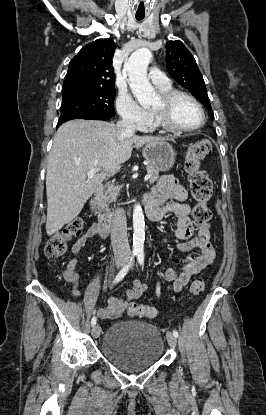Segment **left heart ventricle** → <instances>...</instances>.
<instances>
[{"label": "left heart ventricle", "instance_id": "left-heart-ventricle-1", "mask_svg": "<svg viewBox=\"0 0 266 415\" xmlns=\"http://www.w3.org/2000/svg\"><path fill=\"white\" fill-rule=\"evenodd\" d=\"M161 106L160 97L153 103V108ZM170 116L173 122L182 127H193L201 122V114L196 105L185 97L177 98L171 106Z\"/></svg>", "mask_w": 266, "mask_h": 415}]
</instances>
